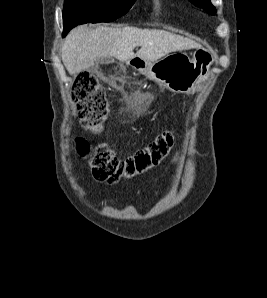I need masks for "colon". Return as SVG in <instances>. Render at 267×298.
<instances>
[{
    "instance_id": "1",
    "label": "colon",
    "mask_w": 267,
    "mask_h": 298,
    "mask_svg": "<svg viewBox=\"0 0 267 298\" xmlns=\"http://www.w3.org/2000/svg\"><path fill=\"white\" fill-rule=\"evenodd\" d=\"M71 98L85 126L96 127L104 119L107 102L94 75L87 72L79 74L72 85ZM173 144L174 133L166 130L133 155L118 159L104 145L92 150L84 138L76 140L78 153L89 158L94 178L108 184L130 179L157 166L167 157Z\"/></svg>"
}]
</instances>
